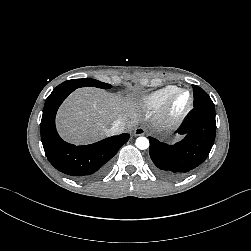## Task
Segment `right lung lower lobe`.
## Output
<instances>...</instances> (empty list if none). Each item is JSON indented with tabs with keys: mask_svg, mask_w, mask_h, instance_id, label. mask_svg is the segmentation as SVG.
Listing matches in <instances>:
<instances>
[{
	"mask_svg": "<svg viewBox=\"0 0 251 251\" xmlns=\"http://www.w3.org/2000/svg\"><path fill=\"white\" fill-rule=\"evenodd\" d=\"M74 90L54 89L47 98L41 120L42 144L48 160L57 170L78 179H95L107 171L108 161L130 136L124 133L84 146L63 141L55 127V116L61 103Z\"/></svg>",
	"mask_w": 251,
	"mask_h": 251,
	"instance_id": "98d812e1",
	"label": "right lung lower lobe"
}]
</instances>
